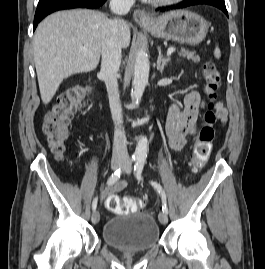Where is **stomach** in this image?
<instances>
[{
	"label": "stomach",
	"instance_id": "0dacf381",
	"mask_svg": "<svg viewBox=\"0 0 265 269\" xmlns=\"http://www.w3.org/2000/svg\"><path fill=\"white\" fill-rule=\"evenodd\" d=\"M144 28L158 38L171 39L179 43L197 45L202 42L209 26L200 15L188 10H174L156 17Z\"/></svg>",
	"mask_w": 265,
	"mask_h": 269
}]
</instances>
